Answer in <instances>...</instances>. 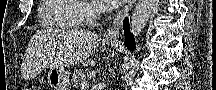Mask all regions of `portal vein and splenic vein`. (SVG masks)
<instances>
[{"label": "portal vein and splenic vein", "mask_w": 216, "mask_h": 90, "mask_svg": "<svg viewBox=\"0 0 216 90\" xmlns=\"http://www.w3.org/2000/svg\"><path fill=\"white\" fill-rule=\"evenodd\" d=\"M86 88H88V84H84V86H82L81 90H86Z\"/></svg>", "instance_id": "18ae733b"}]
</instances>
